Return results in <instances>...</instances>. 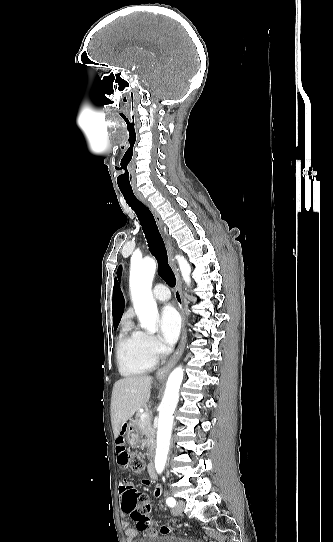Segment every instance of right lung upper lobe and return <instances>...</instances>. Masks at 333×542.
I'll list each match as a JSON object with an SVG mask.
<instances>
[{
    "instance_id": "cb5924a9",
    "label": "right lung upper lobe",
    "mask_w": 333,
    "mask_h": 542,
    "mask_svg": "<svg viewBox=\"0 0 333 542\" xmlns=\"http://www.w3.org/2000/svg\"><path fill=\"white\" fill-rule=\"evenodd\" d=\"M124 310V298L120 291L117 281L114 282L113 289V324L118 326Z\"/></svg>"
}]
</instances>
